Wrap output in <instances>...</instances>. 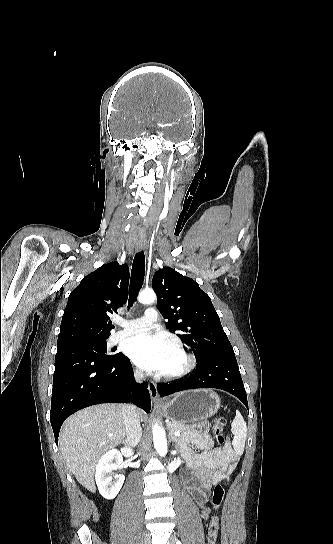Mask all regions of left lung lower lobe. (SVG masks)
<instances>
[{
  "label": "left lung lower lobe",
  "instance_id": "1",
  "mask_svg": "<svg viewBox=\"0 0 333 544\" xmlns=\"http://www.w3.org/2000/svg\"><path fill=\"white\" fill-rule=\"evenodd\" d=\"M157 388L162 397L188 389L217 388L238 397L248 408L247 395L235 355H210L197 361L194 373L186 380L176 384L160 383Z\"/></svg>",
  "mask_w": 333,
  "mask_h": 544
}]
</instances>
